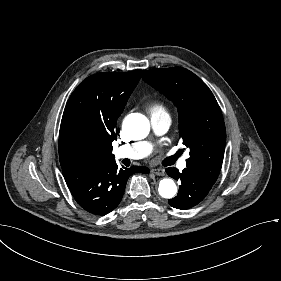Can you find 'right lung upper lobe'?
I'll return each mask as SVG.
<instances>
[{
  "mask_svg": "<svg viewBox=\"0 0 281 281\" xmlns=\"http://www.w3.org/2000/svg\"><path fill=\"white\" fill-rule=\"evenodd\" d=\"M141 70L97 73L70 96L59 133L60 163L113 162L114 128Z\"/></svg>",
  "mask_w": 281,
  "mask_h": 281,
  "instance_id": "1",
  "label": "right lung upper lobe"
}]
</instances>
